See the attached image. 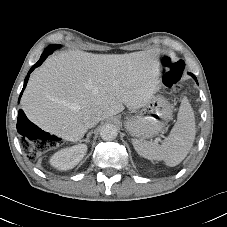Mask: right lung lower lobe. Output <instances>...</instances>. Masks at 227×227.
<instances>
[{"mask_svg":"<svg viewBox=\"0 0 227 227\" xmlns=\"http://www.w3.org/2000/svg\"><path fill=\"white\" fill-rule=\"evenodd\" d=\"M54 47L53 46H49L44 52L43 54L41 55L39 61L34 64L31 69L29 70L28 72V75L26 76L25 78V81H24V86H23V89H22V92L20 94V97L19 99L21 98V95L23 93V90L25 89L26 85H27V82H28V79H29V74L35 69L37 68L38 66H40L42 64V62L47 58V56H49L50 54H52V52L54 51ZM35 126L33 123H31L27 117L25 116L24 112L22 110H19V115H18V121H17V130L18 132L20 133H24L25 129L28 127V126Z\"/></svg>","mask_w":227,"mask_h":227,"instance_id":"right-lung-lower-lobe-1","label":"right lung lower lobe"}]
</instances>
